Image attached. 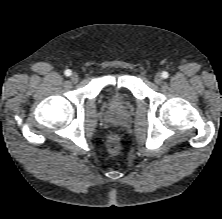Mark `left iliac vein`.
<instances>
[{"label":"left iliac vein","instance_id":"4c4485c4","mask_svg":"<svg viewBox=\"0 0 222 219\" xmlns=\"http://www.w3.org/2000/svg\"><path fill=\"white\" fill-rule=\"evenodd\" d=\"M163 81L162 75L160 73H157L154 77V82L156 84H161Z\"/></svg>","mask_w":222,"mask_h":219}]
</instances>
